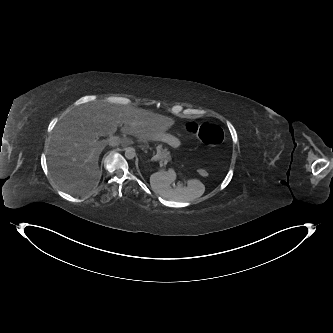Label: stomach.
Returning a JSON list of instances; mask_svg holds the SVG:
<instances>
[{
  "label": "stomach",
  "mask_w": 333,
  "mask_h": 333,
  "mask_svg": "<svg viewBox=\"0 0 333 333\" xmlns=\"http://www.w3.org/2000/svg\"><path fill=\"white\" fill-rule=\"evenodd\" d=\"M163 140L162 141H169L170 139H175L173 136L167 134V133H163L162 134Z\"/></svg>",
  "instance_id": "stomach-1"
}]
</instances>
